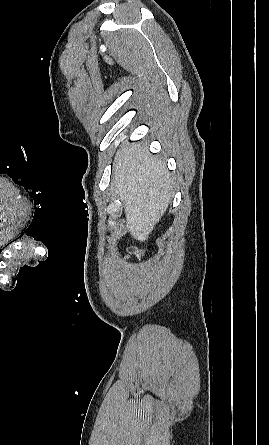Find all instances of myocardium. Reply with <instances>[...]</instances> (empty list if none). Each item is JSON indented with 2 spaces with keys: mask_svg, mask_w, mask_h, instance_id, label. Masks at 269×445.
I'll return each mask as SVG.
<instances>
[{
  "mask_svg": "<svg viewBox=\"0 0 269 445\" xmlns=\"http://www.w3.org/2000/svg\"><path fill=\"white\" fill-rule=\"evenodd\" d=\"M5 241H6V240H2V241H0V244L3 243V242H5Z\"/></svg>",
  "mask_w": 269,
  "mask_h": 445,
  "instance_id": "obj_1",
  "label": "myocardium"
}]
</instances>
